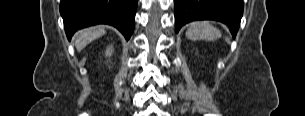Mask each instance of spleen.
Here are the masks:
<instances>
[{"label": "spleen", "mask_w": 305, "mask_h": 116, "mask_svg": "<svg viewBox=\"0 0 305 116\" xmlns=\"http://www.w3.org/2000/svg\"><path fill=\"white\" fill-rule=\"evenodd\" d=\"M186 37L190 40L214 41L221 37L220 31L206 21H196L190 24L186 31Z\"/></svg>", "instance_id": "obj_1"}]
</instances>
